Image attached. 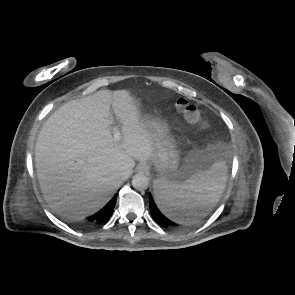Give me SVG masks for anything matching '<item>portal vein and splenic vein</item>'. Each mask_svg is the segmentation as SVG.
<instances>
[{
    "instance_id": "obj_1",
    "label": "portal vein and splenic vein",
    "mask_w": 295,
    "mask_h": 295,
    "mask_svg": "<svg viewBox=\"0 0 295 295\" xmlns=\"http://www.w3.org/2000/svg\"><path fill=\"white\" fill-rule=\"evenodd\" d=\"M109 123H111V122L109 121ZM112 131H113L114 141L119 142L122 138L119 129L117 127H113Z\"/></svg>"
}]
</instances>
